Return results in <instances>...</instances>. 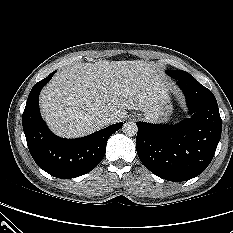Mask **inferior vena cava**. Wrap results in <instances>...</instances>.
<instances>
[{"mask_svg":"<svg viewBox=\"0 0 233 233\" xmlns=\"http://www.w3.org/2000/svg\"><path fill=\"white\" fill-rule=\"evenodd\" d=\"M97 123L107 126L111 123V118L108 115H102L96 119Z\"/></svg>","mask_w":233,"mask_h":233,"instance_id":"obj_1","label":"inferior vena cava"}]
</instances>
